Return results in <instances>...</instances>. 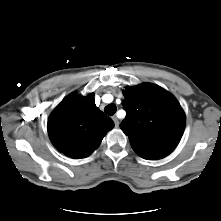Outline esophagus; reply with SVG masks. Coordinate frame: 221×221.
Returning <instances> with one entry per match:
<instances>
[{"label":"esophagus","mask_w":221,"mask_h":221,"mask_svg":"<svg viewBox=\"0 0 221 221\" xmlns=\"http://www.w3.org/2000/svg\"><path fill=\"white\" fill-rule=\"evenodd\" d=\"M112 119L114 121L115 127H118L119 126V119L116 116H113Z\"/></svg>","instance_id":"1"}]
</instances>
